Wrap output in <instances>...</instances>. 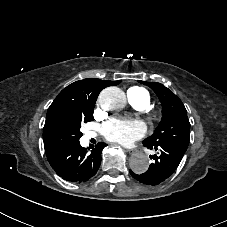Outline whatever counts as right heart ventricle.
<instances>
[{
    "label": "right heart ventricle",
    "mask_w": 227,
    "mask_h": 227,
    "mask_svg": "<svg viewBox=\"0 0 227 227\" xmlns=\"http://www.w3.org/2000/svg\"><path fill=\"white\" fill-rule=\"evenodd\" d=\"M127 94L131 95L134 104H138L140 101L144 102V107H146L150 102L149 94L138 88H129Z\"/></svg>",
    "instance_id": "obj_1"
}]
</instances>
